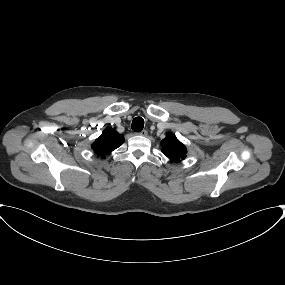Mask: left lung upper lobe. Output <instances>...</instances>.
Wrapping results in <instances>:
<instances>
[{
	"mask_svg": "<svg viewBox=\"0 0 285 285\" xmlns=\"http://www.w3.org/2000/svg\"><path fill=\"white\" fill-rule=\"evenodd\" d=\"M162 153L170 158L172 162H178L185 158L186 147L172 134H167L161 141Z\"/></svg>",
	"mask_w": 285,
	"mask_h": 285,
	"instance_id": "obj_1",
	"label": "left lung upper lobe"
}]
</instances>
